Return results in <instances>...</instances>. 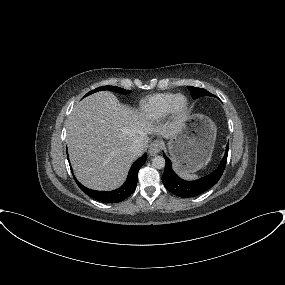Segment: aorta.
Listing matches in <instances>:
<instances>
[{
	"mask_svg": "<svg viewBox=\"0 0 285 285\" xmlns=\"http://www.w3.org/2000/svg\"><path fill=\"white\" fill-rule=\"evenodd\" d=\"M152 165L156 169H162L165 167V159L162 156H155L152 159Z\"/></svg>",
	"mask_w": 285,
	"mask_h": 285,
	"instance_id": "obj_1",
	"label": "aorta"
}]
</instances>
